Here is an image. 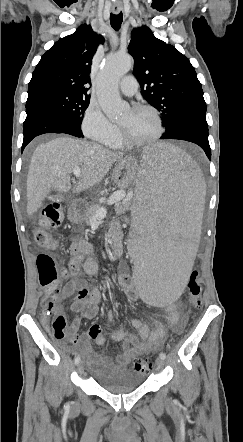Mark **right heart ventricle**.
I'll list each match as a JSON object with an SVG mask.
<instances>
[{
	"instance_id": "e07e8e85",
	"label": "right heart ventricle",
	"mask_w": 243,
	"mask_h": 442,
	"mask_svg": "<svg viewBox=\"0 0 243 442\" xmlns=\"http://www.w3.org/2000/svg\"><path fill=\"white\" fill-rule=\"evenodd\" d=\"M106 144L114 148H121L124 146V144L120 140L118 130L115 135L106 142Z\"/></svg>"
}]
</instances>
